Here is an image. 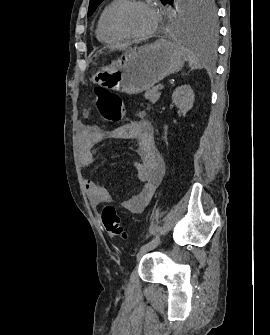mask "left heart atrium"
<instances>
[{
  "instance_id": "39dd6f15",
  "label": "left heart atrium",
  "mask_w": 270,
  "mask_h": 335,
  "mask_svg": "<svg viewBox=\"0 0 270 335\" xmlns=\"http://www.w3.org/2000/svg\"><path fill=\"white\" fill-rule=\"evenodd\" d=\"M154 16V19H155V24H156V22H157V18H156V16L155 15H153Z\"/></svg>"
}]
</instances>
